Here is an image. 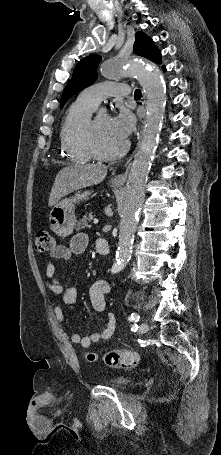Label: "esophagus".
Instances as JSON below:
<instances>
[{
  "label": "esophagus",
  "instance_id": "1",
  "mask_svg": "<svg viewBox=\"0 0 221 455\" xmlns=\"http://www.w3.org/2000/svg\"><path fill=\"white\" fill-rule=\"evenodd\" d=\"M144 130H145V121L143 122V125H142L141 130H140V138H142V136L144 134ZM131 162H132V158L126 163L125 172L122 173V174H119V175H117V176H115L113 178V181L115 183L123 184L126 181L128 173H129V169H130V166H131Z\"/></svg>",
  "mask_w": 221,
  "mask_h": 455
}]
</instances>
